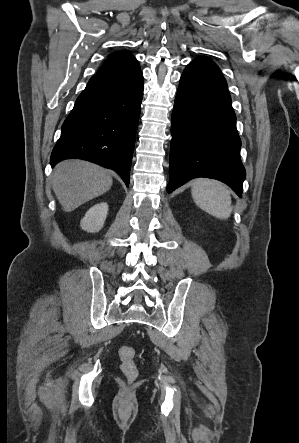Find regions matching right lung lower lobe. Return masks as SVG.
I'll return each mask as SVG.
<instances>
[{
	"mask_svg": "<svg viewBox=\"0 0 299 443\" xmlns=\"http://www.w3.org/2000/svg\"><path fill=\"white\" fill-rule=\"evenodd\" d=\"M143 87L140 67L92 76L62 125L51 166L88 160L116 171L128 187Z\"/></svg>",
	"mask_w": 299,
	"mask_h": 443,
	"instance_id": "right-lung-lower-lobe-1",
	"label": "right lung lower lobe"
}]
</instances>
